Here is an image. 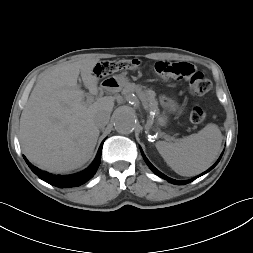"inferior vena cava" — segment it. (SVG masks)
<instances>
[{
  "label": "inferior vena cava",
  "instance_id": "602c4592",
  "mask_svg": "<svg viewBox=\"0 0 253 253\" xmlns=\"http://www.w3.org/2000/svg\"><path fill=\"white\" fill-rule=\"evenodd\" d=\"M110 119V114L101 112L95 117V123L99 128H103L107 125Z\"/></svg>",
  "mask_w": 253,
  "mask_h": 253
}]
</instances>
